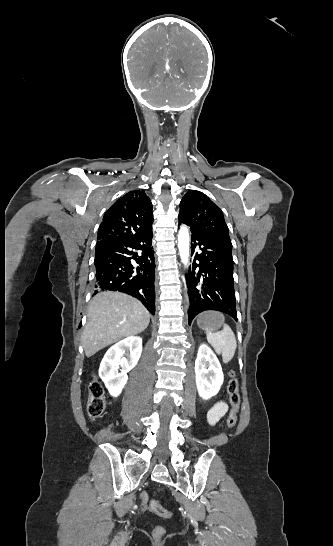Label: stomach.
I'll list each match as a JSON object with an SVG mask.
<instances>
[{
    "label": "stomach",
    "mask_w": 333,
    "mask_h": 546,
    "mask_svg": "<svg viewBox=\"0 0 333 546\" xmlns=\"http://www.w3.org/2000/svg\"><path fill=\"white\" fill-rule=\"evenodd\" d=\"M197 324L205 331L206 329H210L215 332L223 326L224 320L216 312H205L199 315Z\"/></svg>",
    "instance_id": "stomach-1"
}]
</instances>
